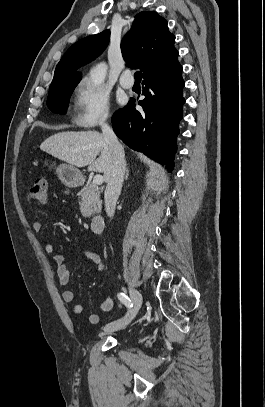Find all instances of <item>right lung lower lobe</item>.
Here are the masks:
<instances>
[{
  "instance_id": "obj_1",
  "label": "right lung lower lobe",
  "mask_w": 265,
  "mask_h": 407,
  "mask_svg": "<svg viewBox=\"0 0 265 407\" xmlns=\"http://www.w3.org/2000/svg\"><path fill=\"white\" fill-rule=\"evenodd\" d=\"M178 52L163 60L143 76L144 100L139 101L143 111L134 108L131 100L112 117L116 135L130 148L143 152L171 171L176 152L178 124L182 119L185 99L182 89V66Z\"/></svg>"
}]
</instances>
